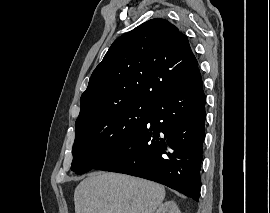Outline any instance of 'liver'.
<instances>
[{
    "label": "liver",
    "instance_id": "1",
    "mask_svg": "<svg viewBox=\"0 0 270 213\" xmlns=\"http://www.w3.org/2000/svg\"><path fill=\"white\" fill-rule=\"evenodd\" d=\"M165 198L157 183L117 173H91L75 189V213H154Z\"/></svg>",
    "mask_w": 270,
    "mask_h": 213
}]
</instances>
